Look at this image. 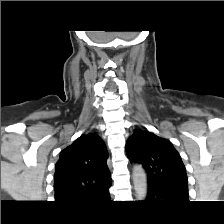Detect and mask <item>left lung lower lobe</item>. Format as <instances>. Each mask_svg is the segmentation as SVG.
Here are the masks:
<instances>
[{
  "mask_svg": "<svg viewBox=\"0 0 224 224\" xmlns=\"http://www.w3.org/2000/svg\"><path fill=\"white\" fill-rule=\"evenodd\" d=\"M147 200L162 203H185L188 201V190L149 185Z\"/></svg>",
  "mask_w": 224,
  "mask_h": 224,
  "instance_id": "obj_1",
  "label": "left lung lower lobe"
}]
</instances>
